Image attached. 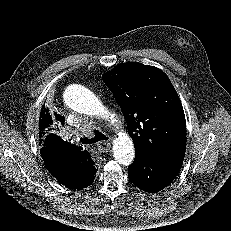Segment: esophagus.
Instances as JSON below:
<instances>
[{
  "label": "esophagus",
  "mask_w": 231,
  "mask_h": 231,
  "mask_svg": "<svg viewBox=\"0 0 231 231\" xmlns=\"http://www.w3.org/2000/svg\"><path fill=\"white\" fill-rule=\"evenodd\" d=\"M111 143L108 141L100 142L98 144V152L100 153H107L110 150Z\"/></svg>",
  "instance_id": "esophagus-1"
}]
</instances>
